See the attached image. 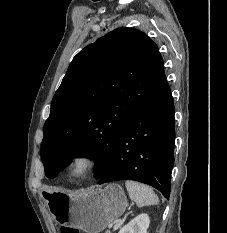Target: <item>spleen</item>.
Instances as JSON below:
<instances>
[{
    "instance_id": "spleen-1",
    "label": "spleen",
    "mask_w": 227,
    "mask_h": 233,
    "mask_svg": "<svg viewBox=\"0 0 227 233\" xmlns=\"http://www.w3.org/2000/svg\"><path fill=\"white\" fill-rule=\"evenodd\" d=\"M125 186L131 200L134 201L138 207L157 205L159 203L157 195L149 186L132 180H127Z\"/></svg>"
}]
</instances>
